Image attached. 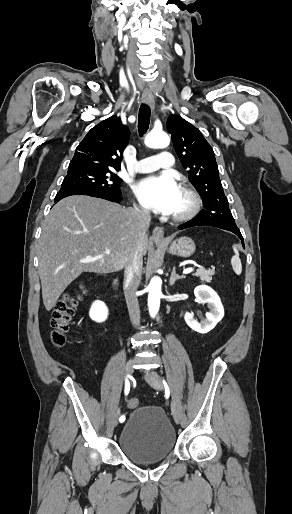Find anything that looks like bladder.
<instances>
[{"instance_id":"bladder-1","label":"bladder","mask_w":292,"mask_h":514,"mask_svg":"<svg viewBox=\"0 0 292 514\" xmlns=\"http://www.w3.org/2000/svg\"><path fill=\"white\" fill-rule=\"evenodd\" d=\"M176 433L163 409L140 406L123 424L118 445L123 454L139 464L165 459L176 445Z\"/></svg>"}]
</instances>
